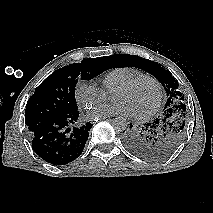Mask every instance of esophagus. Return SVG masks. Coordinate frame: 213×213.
Wrapping results in <instances>:
<instances>
[{
  "label": "esophagus",
  "mask_w": 213,
  "mask_h": 213,
  "mask_svg": "<svg viewBox=\"0 0 213 213\" xmlns=\"http://www.w3.org/2000/svg\"><path fill=\"white\" fill-rule=\"evenodd\" d=\"M110 120V121H112V120H115V119H117V116H115V115H111V116H104V117H100L99 118V120Z\"/></svg>",
  "instance_id": "obj_1"
}]
</instances>
